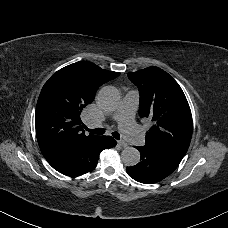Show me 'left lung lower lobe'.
<instances>
[{
	"instance_id": "1",
	"label": "left lung lower lobe",
	"mask_w": 228,
	"mask_h": 228,
	"mask_svg": "<svg viewBox=\"0 0 228 228\" xmlns=\"http://www.w3.org/2000/svg\"><path fill=\"white\" fill-rule=\"evenodd\" d=\"M141 154V161L126 171L134 180L152 184L170 175L179 165L183 155L159 146L144 145L135 147Z\"/></svg>"
}]
</instances>
